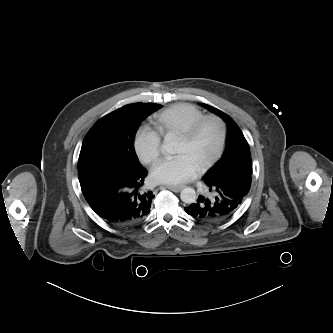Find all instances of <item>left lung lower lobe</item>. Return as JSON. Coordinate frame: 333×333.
I'll list each match as a JSON object with an SVG mask.
<instances>
[{
    "mask_svg": "<svg viewBox=\"0 0 333 333\" xmlns=\"http://www.w3.org/2000/svg\"><path fill=\"white\" fill-rule=\"evenodd\" d=\"M202 179L207 193L200 195L189 207H185V211L195 219L206 222H220L232 215L251 186V177L239 175H231L221 180L208 176H203Z\"/></svg>",
    "mask_w": 333,
    "mask_h": 333,
    "instance_id": "0a47b994",
    "label": "left lung lower lobe"
}]
</instances>
